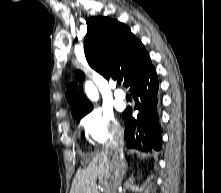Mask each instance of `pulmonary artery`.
<instances>
[{
	"instance_id": "obj_1",
	"label": "pulmonary artery",
	"mask_w": 221,
	"mask_h": 193,
	"mask_svg": "<svg viewBox=\"0 0 221 193\" xmlns=\"http://www.w3.org/2000/svg\"><path fill=\"white\" fill-rule=\"evenodd\" d=\"M112 88H114V95L117 99L123 100L126 98V94L122 89L116 88V84L113 82L111 84Z\"/></svg>"
}]
</instances>
